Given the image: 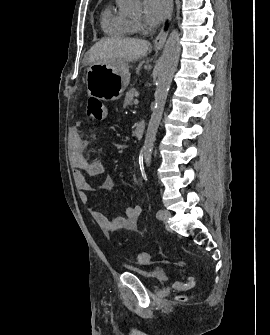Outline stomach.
<instances>
[{
  "instance_id": "1",
  "label": "stomach",
  "mask_w": 270,
  "mask_h": 335,
  "mask_svg": "<svg viewBox=\"0 0 270 335\" xmlns=\"http://www.w3.org/2000/svg\"><path fill=\"white\" fill-rule=\"evenodd\" d=\"M160 50V48H156ZM130 82V72L124 60H116L113 66L93 62L86 72L88 96L97 100H119Z\"/></svg>"
}]
</instances>
